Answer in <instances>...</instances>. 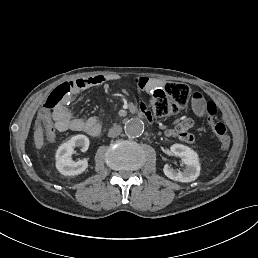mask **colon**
Wrapping results in <instances>:
<instances>
[{
  "mask_svg": "<svg viewBox=\"0 0 258 258\" xmlns=\"http://www.w3.org/2000/svg\"><path fill=\"white\" fill-rule=\"evenodd\" d=\"M75 91L72 81L58 85L48 96L41 115L48 117L55 109L68 102ZM191 96L190 88L183 83L168 82L163 87L153 90L150 96V107L158 118H164L177 113L188 102ZM217 112L214 102L207 101L204 105V115L211 119ZM212 131L217 136L221 149L228 150L231 139L226 126L222 122H210Z\"/></svg>",
  "mask_w": 258,
  "mask_h": 258,
  "instance_id": "colon-1",
  "label": "colon"
}]
</instances>
